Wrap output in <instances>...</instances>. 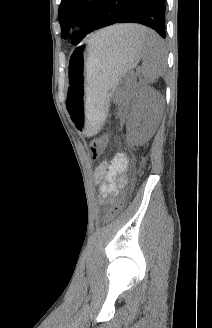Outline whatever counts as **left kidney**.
I'll return each instance as SVG.
<instances>
[{
    "label": "left kidney",
    "instance_id": "5707ae66",
    "mask_svg": "<svg viewBox=\"0 0 212 328\" xmlns=\"http://www.w3.org/2000/svg\"><path fill=\"white\" fill-rule=\"evenodd\" d=\"M161 109L162 98L157 91L145 88L138 92L128 118V131L132 141L139 144L153 136Z\"/></svg>",
    "mask_w": 212,
    "mask_h": 328
}]
</instances>
